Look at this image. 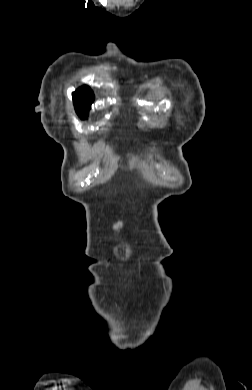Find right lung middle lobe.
I'll return each mask as SVG.
<instances>
[{"instance_id":"dd1d6c3e","label":"right lung middle lobe","mask_w":252,"mask_h":390,"mask_svg":"<svg viewBox=\"0 0 252 390\" xmlns=\"http://www.w3.org/2000/svg\"><path fill=\"white\" fill-rule=\"evenodd\" d=\"M81 119H85L88 115V113H78Z\"/></svg>"}]
</instances>
